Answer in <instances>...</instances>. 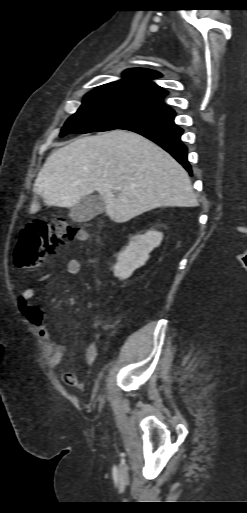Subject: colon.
Returning a JSON list of instances; mask_svg holds the SVG:
<instances>
[{
  "mask_svg": "<svg viewBox=\"0 0 247 513\" xmlns=\"http://www.w3.org/2000/svg\"><path fill=\"white\" fill-rule=\"evenodd\" d=\"M86 239V232L63 219L36 220L21 228L13 263L17 268L39 267L64 242Z\"/></svg>",
  "mask_w": 247,
  "mask_h": 513,
  "instance_id": "colon-1",
  "label": "colon"
}]
</instances>
